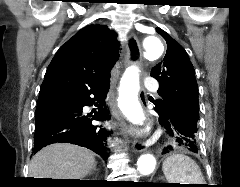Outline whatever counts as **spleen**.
<instances>
[{"mask_svg": "<svg viewBox=\"0 0 240 187\" xmlns=\"http://www.w3.org/2000/svg\"><path fill=\"white\" fill-rule=\"evenodd\" d=\"M163 172L169 183L204 184L198 165L188 156L176 154L163 163Z\"/></svg>", "mask_w": 240, "mask_h": 187, "instance_id": "3e777b00", "label": "spleen"}]
</instances>
